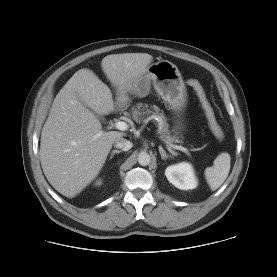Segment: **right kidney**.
<instances>
[{
	"label": "right kidney",
	"mask_w": 277,
	"mask_h": 277,
	"mask_svg": "<svg viewBox=\"0 0 277 277\" xmlns=\"http://www.w3.org/2000/svg\"><path fill=\"white\" fill-rule=\"evenodd\" d=\"M97 185H99V184H101V182L100 181H97V183H96Z\"/></svg>",
	"instance_id": "ca27d5eb"
}]
</instances>
